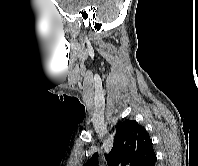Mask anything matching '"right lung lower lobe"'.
<instances>
[{"label": "right lung lower lobe", "mask_w": 198, "mask_h": 166, "mask_svg": "<svg viewBox=\"0 0 198 166\" xmlns=\"http://www.w3.org/2000/svg\"><path fill=\"white\" fill-rule=\"evenodd\" d=\"M156 155H154L146 164L145 166H155Z\"/></svg>", "instance_id": "1"}]
</instances>
